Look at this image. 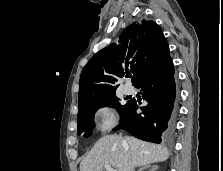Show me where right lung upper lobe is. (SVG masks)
Segmentation results:
<instances>
[{
	"label": "right lung upper lobe",
	"mask_w": 223,
	"mask_h": 171,
	"mask_svg": "<svg viewBox=\"0 0 223 171\" xmlns=\"http://www.w3.org/2000/svg\"><path fill=\"white\" fill-rule=\"evenodd\" d=\"M169 56V46L159 25L141 20L126 27L119 43L97 52L85 65L80 77L78 108L115 94L117 77L130 67L136 86L161 67Z\"/></svg>",
	"instance_id": "1"
}]
</instances>
